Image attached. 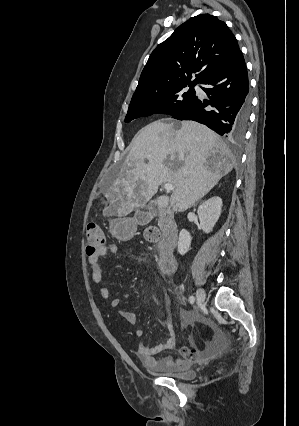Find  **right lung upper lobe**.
<instances>
[{
	"instance_id": "obj_1",
	"label": "right lung upper lobe",
	"mask_w": 299,
	"mask_h": 426,
	"mask_svg": "<svg viewBox=\"0 0 299 426\" xmlns=\"http://www.w3.org/2000/svg\"><path fill=\"white\" fill-rule=\"evenodd\" d=\"M239 53L237 40L225 22L210 14L197 15L153 50L131 101L171 86L201 83ZM194 73L196 78L191 82Z\"/></svg>"
}]
</instances>
